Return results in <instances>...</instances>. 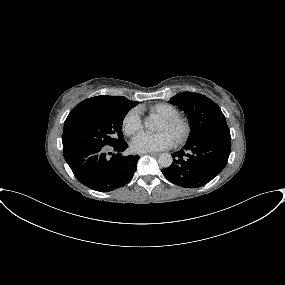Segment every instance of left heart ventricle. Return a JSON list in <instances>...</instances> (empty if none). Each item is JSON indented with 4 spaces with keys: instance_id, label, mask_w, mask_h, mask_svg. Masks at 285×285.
<instances>
[{
    "instance_id": "b2bd125f",
    "label": "left heart ventricle",
    "mask_w": 285,
    "mask_h": 285,
    "mask_svg": "<svg viewBox=\"0 0 285 285\" xmlns=\"http://www.w3.org/2000/svg\"><path fill=\"white\" fill-rule=\"evenodd\" d=\"M156 132H165L167 133L172 139H174L175 135H176V130L172 127H169L167 125H165L163 122L159 121L156 129Z\"/></svg>"
}]
</instances>
